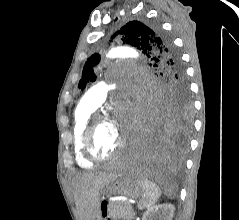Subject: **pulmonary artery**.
Here are the masks:
<instances>
[{
    "mask_svg": "<svg viewBox=\"0 0 239 220\" xmlns=\"http://www.w3.org/2000/svg\"><path fill=\"white\" fill-rule=\"evenodd\" d=\"M109 85L101 81L89 88L80 100V105L91 110H96L106 99Z\"/></svg>",
    "mask_w": 239,
    "mask_h": 220,
    "instance_id": "obj_1",
    "label": "pulmonary artery"
}]
</instances>
